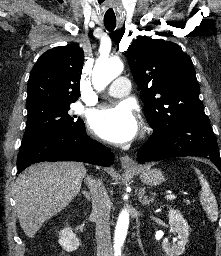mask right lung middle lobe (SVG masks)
<instances>
[{"mask_svg": "<svg viewBox=\"0 0 221 256\" xmlns=\"http://www.w3.org/2000/svg\"><path fill=\"white\" fill-rule=\"evenodd\" d=\"M70 104H43L28 109L25 133L21 144L43 133L68 128H84V122L71 114Z\"/></svg>", "mask_w": 221, "mask_h": 256, "instance_id": "1", "label": "right lung middle lobe"}]
</instances>
